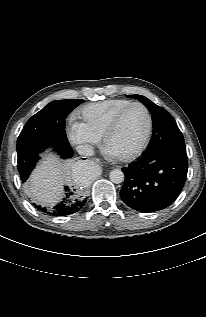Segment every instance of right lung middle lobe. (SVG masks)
Masks as SVG:
<instances>
[{
	"label": "right lung middle lobe",
	"instance_id": "obj_1",
	"mask_svg": "<svg viewBox=\"0 0 206 317\" xmlns=\"http://www.w3.org/2000/svg\"><path fill=\"white\" fill-rule=\"evenodd\" d=\"M82 101H52L27 121L17 139L18 170L22 182L27 180L43 149L51 145L57 150L67 143L65 119Z\"/></svg>",
	"mask_w": 206,
	"mask_h": 317
}]
</instances>
